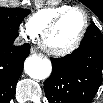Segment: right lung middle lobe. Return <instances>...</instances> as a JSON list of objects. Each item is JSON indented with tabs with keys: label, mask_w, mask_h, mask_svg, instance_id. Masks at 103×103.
<instances>
[{
	"label": "right lung middle lobe",
	"mask_w": 103,
	"mask_h": 103,
	"mask_svg": "<svg viewBox=\"0 0 103 103\" xmlns=\"http://www.w3.org/2000/svg\"><path fill=\"white\" fill-rule=\"evenodd\" d=\"M29 13L26 9L0 8V31L18 36V27Z\"/></svg>",
	"instance_id": "right-lung-middle-lobe-1"
}]
</instances>
